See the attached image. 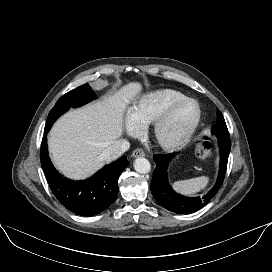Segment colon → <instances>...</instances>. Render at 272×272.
Wrapping results in <instances>:
<instances>
[{
	"label": "colon",
	"instance_id": "colon-1",
	"mask_svg": "<svg viewBox=\"0 0 272 272\" xmlns=\"http://www.w3.org/2000/svg\"><path fill=\"white\" fill-rule=\"evenodd\" d=\"M196 153L203 159L209 158L212 155L213 149L205 136L197 141Z\"/></svg>",
	"mask_w": 272,
	"mask_h": 272
}]
</instances>
